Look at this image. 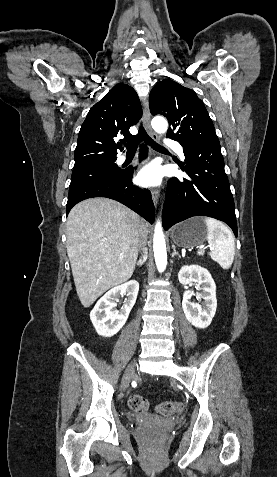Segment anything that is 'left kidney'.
Wrapping results in <instances>:
<instances>
[{
    "mask_svg": "<svg viewBox=\"0 0 277 477\" xmlns=\"http://www.w3.org/2000/svg\"><path fill=\"white\" fill-rule=\"evenodd\" d=\"M183 285L197 283L202 286L197 299H204L203 307L191 301L192 294L186 290L183 294L182 308L186 319L195 327L204 329L211 324L217 308L216 285L209 271L198 265L183 266L178 273Z\"/></svg>",
    "mask_w": 277,
    "mask_h": 477,
    "instance_id": "1",
    "label": "left kidney"
}]
</instances>
